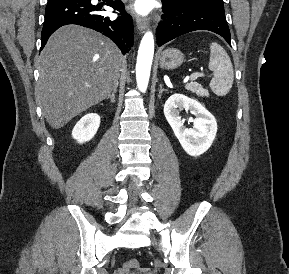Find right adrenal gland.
<instances>
[{
  "instance_id": "obj_1",
  "label": "right adrenal gland",
  "mask_w": 289,
  "mask_h": 274,
  "mask_svg": "<svg viewBox=\"0 0 289 274\" xmlns=\"http://www.w3.org/2000/svg\"><path fill=\"white\" fill-rule=\"evenodd\" d=\"M117 87H118V84L113 89V92L107 97V99H110L112 103H115V93L117 92Z\"/></svg>"
}]
</instances>
